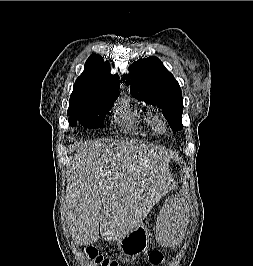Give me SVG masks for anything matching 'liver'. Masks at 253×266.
<instances>
[{
	"mask_svg": "<svg viewBox=\"0 0 253 266\" xmlns=\"http://www.w3.org/2000/svg\"><path fill=\"white\" fill-rule=\"evenodd\" d=\"M170 158L164 148L125 140L78 145L68 210L75 244H93L99 233L118 242L140 227L156 202L159 175Z\"/></svg>",
	"mask_w": 253,
	"mask_h": 266,
	"instance_id": "1",
	"label": "liver"
}]
</instances>
